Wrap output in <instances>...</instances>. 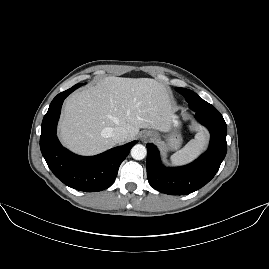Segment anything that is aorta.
Wrapping results in <instances>:
<instances>
[{"mask_svg":"<svg viewBox=\"0 0 269 269\" xmlns=\"http://www.w3.org/2000/svg\"><path fill=\"white\" fill-rule=\"evenodd\" d=\"M147 154L146 148L143 145H135L132 149H131V156L133 159L135 160H142L145 158Z\"/></svg>","mask_w":269,"mask_h":269,"instance_id":"762f6f07","label":"aorta"}]
</instances>
